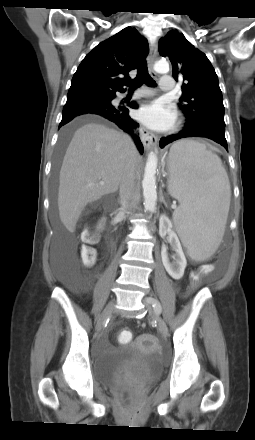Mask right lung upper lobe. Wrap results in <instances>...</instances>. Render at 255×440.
<instances>
[{
    "instance_id": "right-lung-upper-lobe-1",
    "label": "right lung upper lobe",
    "mask_w": 255,
    "mask_h": 440,
    "mask_svg": "<svg viewBox=\"0 0 255 440\" xmlns=\"http://www.w3.org/2000/svg\"><path fill=\"white\" fill-rule=\"evenodd\" d=\"M147 54V40L135 28H124L85 56L73 76L67 99L123 91L129 72Z\"/></svg>"
}]
</instances>
